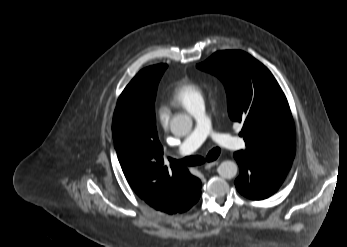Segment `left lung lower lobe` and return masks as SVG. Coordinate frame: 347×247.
I'll use <instances>...</instances> for the list:
<instances>
[{
  "mask_svg": "<svg viewBox=\"0 0 347 247\" xmlns=\"http://www.w3.org/2000/svg\"><path fill=\"white\" fill-rule=\"evenodd\" d=\"M240 174L237 190L247 198L262 200L275 193L283 183L292 161L287 158L252 156L243 151L234 153Z\"/></svg>",
  "mask_w": 347,
  "mask_h": 247,
  "instance_id": "1",
  "label": "left lung lower lobe"
}]
</instances>
